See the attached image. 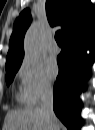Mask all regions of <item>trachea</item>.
Segmentation results:
<instances>
[{
	"label": "trachea",
	"instance_id": "trachea-1",
	"mask_svg": "<svg viewBox=\"0 0 95 130\" xmlns=\"http://www.w3.org/2000/svg\"><path fill=\"white\" fill-rule=\"evenodd\" d=\"M55 40H56V42H57L58 45L62 46L63 41H62V34H61L60 31H57L55 33Z\"/></svg>",
	"mask_w": 95,
	"mask_h": 130
}]
</instances>
